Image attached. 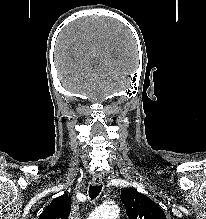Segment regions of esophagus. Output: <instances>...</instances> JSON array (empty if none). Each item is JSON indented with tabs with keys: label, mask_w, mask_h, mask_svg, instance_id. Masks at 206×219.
Masks as SVG:
<instances>
[{
	"label": "esophagus",
	"mask_w": 206,
	"mask_h": 219,
	"mask_svg": "<svg viewBox=\"0 0 206 219\" xmlns=\"http://www.w3.org/2000/svg\"><path fill=\"white\" fill-rule=\"evenodd\" d=\"M93 185H100L102 184V176L100 174H95L92 178Z\"/></svg>",
	"instance_id": "34e87169"
}]
</instances>
